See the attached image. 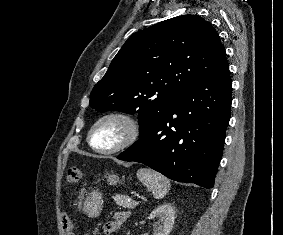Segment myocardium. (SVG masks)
<instances>
[{
    "label": "myocardium",
    "mask_w": 283,
    "mask_h": 235,
    "mask_svg": "<svg viewBox=\"0 0 283 235\" xmlns=\"http://www.w3.org/2000/svg\"><path fill=\"white\" fill-rule=\"evenodd\" d=\"M108 120H119L121 121L125 127H126V134L124 138L115 146L111 148H100L94 145L92 138L95 134L97 128ZM141 135V124L139 120L134 117L132 114L125 112V111H110L107 113H104L99 118L96 119V121L92 124V126L89 129L87 140L90 146L95 150L96 152L100 154H116L118 152L124 151L131 147L137 140L139 139Z\"/></svg>",
    "instance_id": "obj_1"
}]
</instances>
